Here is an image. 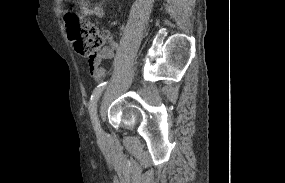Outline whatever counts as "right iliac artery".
Segmentation results:
<instances>
[{"label": "right iliac artery", "instance_id": "1", "mask_svg": "<svg viewBox=\"0 0 285 183\" xmlns=\"http://www.w3.org/2000/svg\"><path fill=\"white\" fill-rule=\"evenodd\" d=\"M106 84H107V82H103V83L99 84L95 88V90L93 91V93L91 95V99H90L89 112H90L92 123L94 125V129L96 132H98V134L100 132V125L98 123L97 114H96V103H97V100H98L101 92L104 90Z\"/></svg>", "mask_w": 285, "mask_h": 183}]
</instances>
